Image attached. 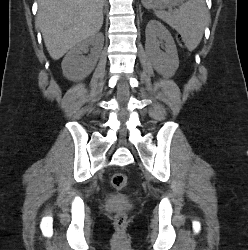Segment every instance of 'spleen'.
Instances as JSON below:
<instances>
[{
	"label": "spleen",
	"mask_w": 248,
	"mask_h": 250,
	"mask_svg": "<svg viewBox=\"0 0 248 250\" xmlns=\"http://www.w3.org/2000/svg\"><path fill=\"white\" fill-rule=\"evenodd\" d=\"M155 14L181 35L189 50L199 45L210 21L204 0H188L172 12L156 11Z\"/></svg>",
	"instance_id": "obj_1"
}]
</instances>
